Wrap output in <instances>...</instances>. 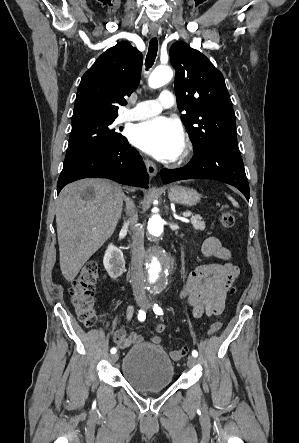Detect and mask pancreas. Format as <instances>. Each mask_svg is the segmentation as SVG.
Wrapping results in <instances>:
<instances>
[{"instance_id":"obj_1","label":"pancreas","mask_w":299,"mask_h":443,"mask_svg":"<svg viewBox=\"0 0 299 443\" xmlns=\"http://www.w3.org/2000/svg\"><path fill=\"white\" fill-rule=\"evenodd\" d=\"M190 222L195 230L203 231L205 229V222L201 220L200 216H192Z\"/></svg>"}]
</instances>
